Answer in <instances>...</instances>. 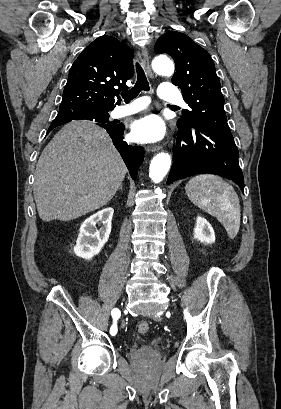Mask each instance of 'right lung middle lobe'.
Segmentation results:
<instances>
[{
    "mask_svg": "<svg viewBox=\"0 0 281 409\" xmlns=\"http://www.w3.org/2000/svg\"><path fill=\"white\" fill-rule=\"evenodd\" d=\"M108 118H109V114H108V112H105L102 119L95 120V121L100 122L101 120H108ZM81 119H83V118H61V117H56L54 119V121L51 123V126H50L49 130H51L54 127H57L59 125L70 122L71 120H81ZM86 120H93V119H86Z\"/></svg>",
    "mask_w": 281,
    "mask_h": 409,
    "instance_id": "obj_1",
    "label": "right lung middle lobe"
}]
</instances>
